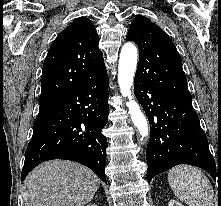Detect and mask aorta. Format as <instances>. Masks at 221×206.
Wrapping results in <instances>:
<instances>
[{
    "label": "aorta",
    "instance_id": "762f6f07",
    "mask_svg": "<svg viewBox=\"0 0 221 206\" xmlns=\"http://www.w3.org/2000/svg\"><path fill=\"white\" fill-rule=\"evenodd\" d=\"M137 48L133 43H125L121 49L119 65H118V83L121 94L128 97L126 103L129 108L133 124L137 127L142 139L149 134L147 119L141 112L139 105L133 99L131 87L133 85L134 74L137 67Z\"/></svg>",
    "mask_w": 221,
    "mask_h": 206
}]
</instances>
